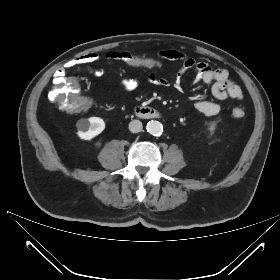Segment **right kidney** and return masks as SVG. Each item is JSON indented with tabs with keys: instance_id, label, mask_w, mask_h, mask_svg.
<instances>
[{
	"instance_id": "obj_1",
	"label": "right kidney",
	"mask_w": 280,
	"mask_h": 280,
	"mask_svg": "<svg viewBox=\"0 0 280 280\" xmlns=\"http://www.w3.org/2000/svg\"><path fill=\"white\" fill-rule=\"evenodd\" d=\"M77 128V135L80 139L91 140L105 129V122L100 117H90L79 120Z\"/></svg>"
}]
</instances>
